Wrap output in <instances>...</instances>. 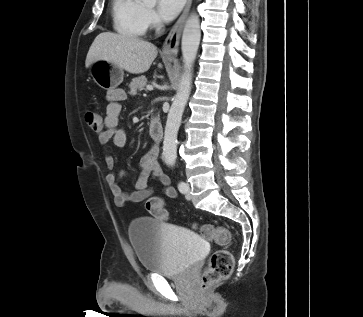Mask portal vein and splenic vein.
I'll list each match as a JSON object with an SVG mask.
<instances>
[{
    "mask_svg": "<svg viewBox=\"0 0 363 317\" xmlns=\"http://www.w3.org/2000/svg\"><path fill=\"white\" fill-rule=\"evenodd\" d=\"M146 89H147L148 91H151V90H153V86H152V85H148V86L146 87Z\"/></svg>",
    "mask_w": 363,
    "mask_h": 317,
    "instance_id": "obj_1",
    "label": "portal vein and splenic vein"
}]
</instances>
